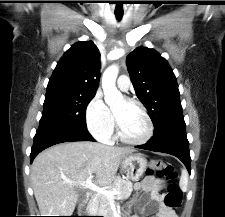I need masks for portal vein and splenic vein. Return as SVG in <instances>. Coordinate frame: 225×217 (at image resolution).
Here are the masks:
<instances>
[{
    "label": "portal vein and splenic vein",
    "mask_w": 225,
    "mask_h": 217,
    "mask_svg": "<svg viewBox=\"0 0 225 217\" xmlns=\"http://www.w3.org/2000/svg\"><path fill=\"white\" fill-rule=\"evenodd\" d=\"M69 183H73L72 181H68ZM78 185L89 188L92 191L103 194L108 198H113L115 195L120 194L117 190H107L105 188L99 187L91 181V178H88L86 181L77 183Z\"/></svg>",
    "instance_id": "portal-vein-and-splenic-vein-1"
}]
</instances>
